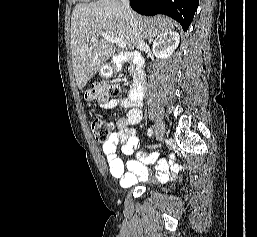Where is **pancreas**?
<instances>
[{"mask_svg": "<svg viewBox=\"0 0 257 237\" xmlns=\"http://www.w3.org/2000/svg\"><path fill=\"white\" fill-rule=\"evenodd\" d=\"M129 72H130L131 75H133L134 69H133V66H132V65L129 66Z\"/></svg>", "mask_w": 257, "mask_h": 237, "instance_id": "1", "label": "pancreas"}]
</instances>
